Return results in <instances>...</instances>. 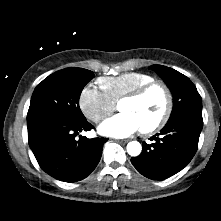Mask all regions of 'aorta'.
<instances>
[{
	"instance_id": "obj_1",
	"label": "aorta",
	"mask_w": 221,
	"mask_h": 221,
	"mask_svg": "<svg viewBox=\"0 0 221 221\" xmlns=\"http://www.w3.org/2000/svg\"><path fill=\"white\" fill-rule=\"evenodd\" d=\"M142 146L137 141H131L127 144V152L130 156L136 157L141 153Z\"/></svg>"
}]
</instances>
